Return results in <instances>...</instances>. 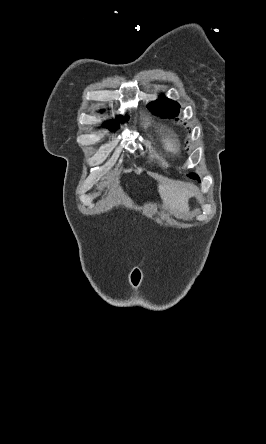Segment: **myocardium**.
I'll use <instances>...</instances> for the list:
<instances>
[{
	"label": "myocardium",
	"mask_w": 266,
	"mask_h": 444,
	"mask_svg": "<svg viewBox=\"0 0 266 444\" xmlns=\"http://www.w3.org/2000/svg\"><path fill=\"white\" fill-rule=\"evenodd\" d=\"M165 147L169 152L177 154L180 152L181 149L180 140L176 135L170 134L165 138Z\"/></svg>",
	"instance_id": "1"
}]
</instances>
